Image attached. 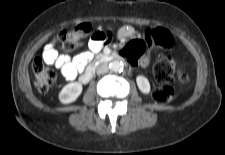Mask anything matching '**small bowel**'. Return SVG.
<instances>
[{"label":"small bowel","instance_id":"1","mask_svg":"<svg viewBox=\"0 0 225 155\" xmlns=\"http://www.w3.org/2000/svg\"><path fill=\"white\" fill-rule=\"evenodd\" d=\"M131 34L129 29L121 31L122 37H127ZM106 35L102 32L94 33L88 43L89 50L71 58L68 55L60 54L56 47L55 42H49L43 49V60L50 65H54L61 70L62 75L67 80H72L76 77L77 73L81 71L86 63L92 58L94 53H97L103 47L106 41ZM149 63V56L144 54L140 60V65L146 66Z\"/></svg>","mask_w":225,"mask_h":155}]
</instances>
